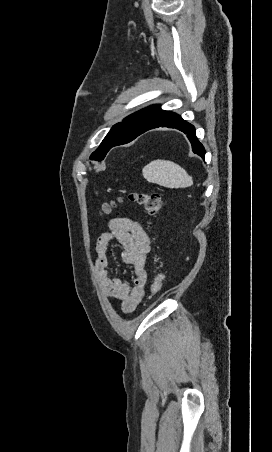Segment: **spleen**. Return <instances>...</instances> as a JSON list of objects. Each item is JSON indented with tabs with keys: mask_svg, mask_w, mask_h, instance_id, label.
<instances>
[{
	"mask_svg": "<svg viewBox=\"0 0 272 452\" xmlns=\"http://www.w3.org/2000/svg\"><path fill=\"white\" fill-rule=\"evenodd\" d=\"M142 172L148 182L168 188H184L193 184L192 177L181 166L168 160H154Z\"/></svg>",
	"mask_w": 272,
	"mask_h": 452,
	"instance_id": "1",
	"label": "spleen"
}]
</instances>
